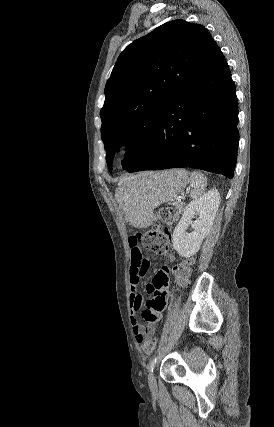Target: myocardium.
I'll list each match as a JSON object with an SVG mask.
<instances>
[{
  "label": "myocardium",
  "instance_id": "1",
  "mask_svg": "<svg viewBox=\"0 0 274 427\" xmlns=\"http://www.w3.org/2000/svg\"><path fill=\"white\" fill-rule=\"evenodd\" d=\"M134 144V137L126 134L117 139L113 146V155L117 159H124L129 155Z\"/></svg>",
  "mask_w": 274,
  "mask_h": 427
}]
</instances>
